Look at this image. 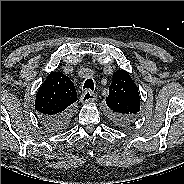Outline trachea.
<instances>
[{"mask_svg":"<svg viewBox=\"0 0 184 184\" xmlns=\"http://www.w3.org/2000/svg\"><path fill=\"white\" fill-rule=\"evenodd\" d=\"M86 88L91 89L92 91L94 90V82L92 79L89 78L85 81L83 89H86Z\"/></svg>","mask_w":184,"mask_h":184,"instance_id":"1","label":"trachea"}]
</instances>
